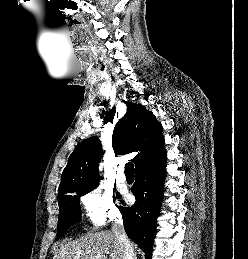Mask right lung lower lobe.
I'll return each instance as SVG.
<instances>
[{
    "label": "right lung lower lobe",
    "instance_id": "obj_1",
    "mask_svg": "<svg viewBox=\"0 0 248 259\" xmlns=\"http://www.w3.org/2000/svg\"><path fill=\"white\" fill-rule=\"evenodd\" d=\"M166 152L143 161L135 167V184L132 192L136 202L131 207L120 208L128 237L151 259L155 238L156 219L163 199Z\"/></svg>",
    "mask_w": 248,
    "mask_h": 259
}]
</instances>
